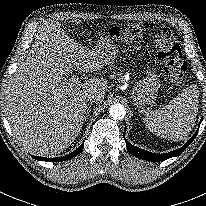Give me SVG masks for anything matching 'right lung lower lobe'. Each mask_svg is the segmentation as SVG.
I'll return each mask as SVG.
<instances>
[{
	"label": "right lung lower lobe",
	"mask_w": 206,
	"mask_h": 206,
	"mask_svg": "<svg viewBox=\"0 0 206 206\" xmlns=\"http://www.w3.org/2000/svg\"><path fill=\"white\" fill-rule=\"evenodd\" d=\"M83 146H84V143L77 150H75L74 152H72L66 156H63V157H57V158H45V157H37V156H32V157L36 160L48 161V162L65 161V160H68V159H71V158L77 156L82 151Z\"/></svg>",
	"instance_id": "98d812e1"
}]
</instances>
